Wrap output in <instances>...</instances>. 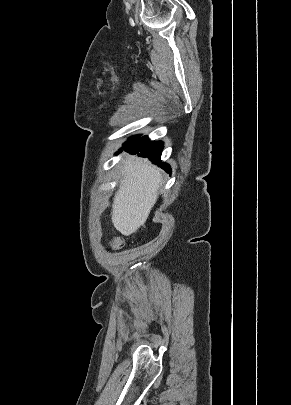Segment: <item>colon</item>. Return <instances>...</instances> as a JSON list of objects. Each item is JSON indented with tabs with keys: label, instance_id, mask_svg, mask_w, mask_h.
Here are the masks:
<instances>
[{
	"label": "colon",
	"instance_id": "1",
	"mask_svg": "<svg viewBox=\"0 0 291 405\" xmlns=\"http://www.w3.org/2000/svg\"><path fill=\"white\" fill-rule=\"evenodd\" d=\"M111 246L114 249H118V248H120L122 246V241L120 239L116 238L111 242Z\"/></svg>",
	"mask_w": 291,
	"mask_h": 405
}]
</instances>
